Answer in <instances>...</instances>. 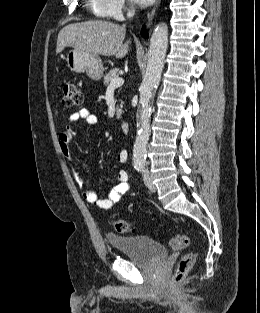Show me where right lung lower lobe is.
<instances>
[{"mask_svg": "<svg viewBox=\"0 0 260 313\" xmlns=\"http://www.w3.org/2000/svg\"><path fill=\"white\" fill-rule=\"evenodd\" d=\"M142 35H143V37L146 36V32L144 31V28L142 29Z\"/></svg>", "mask_w": 260, "mask_h": 313, "instance_id": "1", "label": "right lung lower lobe"}]
</instances>
